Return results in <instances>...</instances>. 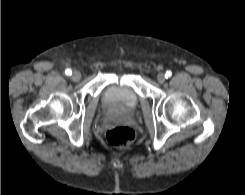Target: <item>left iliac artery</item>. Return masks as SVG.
<instances>
[{"mask_svg":"<svg viewBox=\"0 0 245 195\" xmlns=\"http://www.w3.org/2000/svg\"><path fill=\"white\" fill-rule=\"evenodd\" d=\"M172 76V72L170 70L166 71L165 77L170 78Z\"/></svg>","mask_w":245,"mask_h":195,"instance_id":"44dca946","label":"left iliac artery"}]
</instances>
